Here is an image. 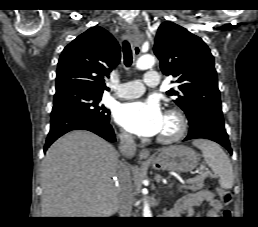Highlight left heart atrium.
<instances>
[{
  "label": "left heart atrium",
  "instance_id": "left-heart-atrium-1",
  "mask_svg": "<svg viewBox=\"0 0 258 227\" xmlns=\"http://www.w3.org/2000/svg\"><path fill=\"white\" fill-rule=\"evenodd\" d=\"M115 118L125 129L140 136L160 133L164 121L159 103L151 99L121 105Z\"/></svg>",
  "mask_w": 258,
  "mask_h": 227
}]
</instances>
